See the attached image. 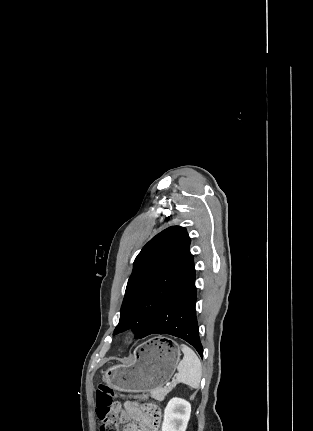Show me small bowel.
<instances>
[{
	"label": "small bowel",
	"instance_id": "small-bowel-1",
	"mask_svg": "<svg viewBox=\"0 0 313 431\" xmlns=\"http://www.w3.org/2000/svg\"><path fill=\"white\" fill-rule=\"evenodd\" d=\"M113 411L119 415L122 431H155L156 421L148 412V406L136 402H115Z\"/></svg>",
	"mask_w": 313,
	"mask_h": 431
}]
</instances>
